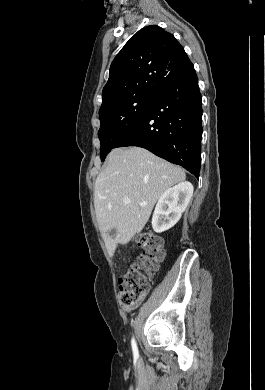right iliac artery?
Here are the masks:
<instances>
[{
  "label": "right iliac artery",
  "instance_id": "obj_1",
  "mask_svg": "<svg viewBox=\"0 0 265 390\" xmlns=\"http://www.w3.org/2000/svg\"><path fill=\"white\" fill-rule=\"evenodd\" d=\"M131 345H132L134 358L137 359L139 357V353H138V348L134 337L131 340Z\"/></svg>",
  "mask_w": 265,
  "mask_h": 390
}]
</instances>
